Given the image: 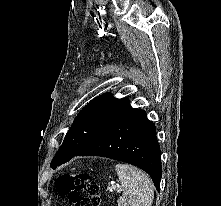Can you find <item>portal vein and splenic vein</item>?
<instances>
[{"label": "portal vein and splenic vein", "mask_w": 221, "mask_h": 206, "mask_svg": "<svg viewBox=\"0 0 221 206\" xmlns=\"http://www.w3.org/2000/svg\"><path fill=\"white\" fill-rule=\"evenodd\" d=\"M115 190H117L118 192H120V191H121V188H120V187H116L115 185H112V186H111V191H115Z\"/></svg>", "instance_id": "18ae733b"}]
</instances>
